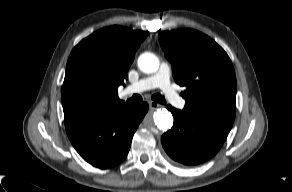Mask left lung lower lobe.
Segmentation results:
<instances>
[{"label":"left lung lower lobe","instance_id":"left-lung-lower-lobe-1","mask_svg":"<svg viewBox=\"0 0 292 192\" xmlns=\"http://www.w3.org/2000/svg\"><path fill=\"white\" fill-rule=\"evenodd\" d=\"M167 109L174 125L161 137L168 156L179 165H197L213 157L226 140L232 124L203 117L186 116L181 110Z\"/></svg>","mask_w":292,"mask_h":192}]
</instances>
